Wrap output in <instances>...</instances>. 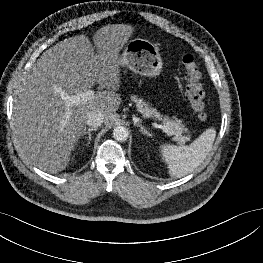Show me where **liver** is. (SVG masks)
Masks as SVG:
<instances>
[{
	"label": "liver",
	"instance_id": "1",
	"mask_svg": "<svg viewBox=\"0 0 263 263\" xmlns=\"http://www.w3.org/2000/svg\"><path fill=\"white\" fill-rule=\"evenodd\" d=\"M133 32L126 24L100 28L93 36L96 53L84 35L64 39L46 50L23 77L14 96L12 126L16 147L34 166L52 174L64 170L86 131L90 111L102 112L107 125L115 118L121 104L119 51ZM96 83L105 91L74 104L66 120L67 106L59 90L73 95Z\"/></svg>",
	"mask_w": 263,
	"mask_h": 263
}]
</instances>
